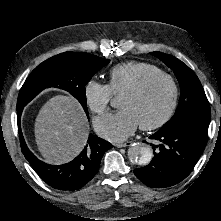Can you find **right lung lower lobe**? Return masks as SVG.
<instances>
[{
  "mask_svg": "<svg viewBox=\"0 0 221 221\" xmlns=\"http://www.w3.org/2000/svg\"><path fill=\"white\" fill-rule=\"evenodd\" d=\"M22 110L17 111L21 150L40 178L52 188L74 191L86 185L97 173L103 154L112 148V144L98 136L89 135L83 151L71 162L63 165H49L29 150L23 138L20 117Z\"/></svg>",
  "mask_w": 221,
  "mask_h": 221,
  "instance_id": "right-lung-lower-lobe-1",
  "label": "right lung lower lobe"
}]
</instances>
